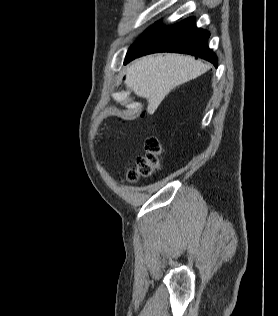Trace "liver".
Wrapping results in <instances>:
<instances>
[{"mask_svg":"<svg viewBox=\"0 0 278 316\" xmlns=\"http://www.w3.org/2000/svg\"><path fill=\"white\" fill-rule=\"evenodd\" d=\"M209 69V64L195 60L192 56H146L129 65L125 84L137 96L147 99V111L152 114L172 89L199 77Z\"/></svg>","mask_w":278,"mask_h":316,"instance_id":"obj_1","label":"liver"}]
</instances>
